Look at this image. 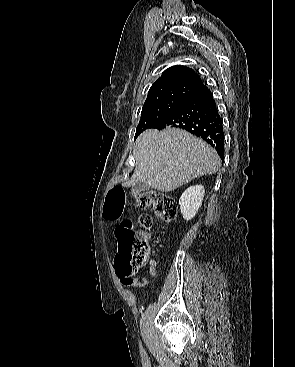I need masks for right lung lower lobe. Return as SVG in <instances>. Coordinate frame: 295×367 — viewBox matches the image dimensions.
<instances>
[{
    "label": "right lung lower lobe",
    "instance_id": "obj_1",
    "mask_svg": "<svg viewBox=\"0 0 295 367\" xmlns=\"http://www.w3.org/2000/svg\"><path fill=\"white\" fill-rule=\"evenodd\" d=\"M184 129L209 143L224 160V133L213 95L203 86L189 96L175 111L154 128Z\"/></svg>",
    "mask_w": 295,
    "mask_h": 367
}]
</instances>
